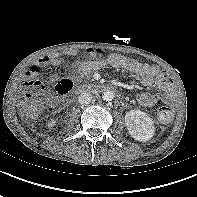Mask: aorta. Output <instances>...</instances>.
I'll list each match as a JSON object with an SVG mask.
<instances>
[{"label":"aorta","instance_id":"aorta-1","mask_svg":"<svg viewBox=\"0 0 197 197\" xmlns=\"http://www.w3.org/2000/svg\"><path fill=\"white\" fill-rule=\"evenodd\" d=\"M102 98L106 102H110L114 99V93L112 91H106L103 93Z\"/></svg>","mask_w":197,"mask_h":197}]
</instances>
